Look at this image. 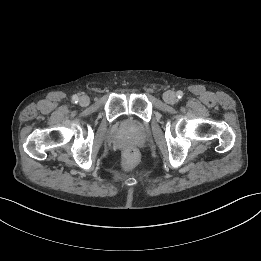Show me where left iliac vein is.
I'll return each mask as SVG.
<instances>
[{
    "label": "left iliac vein",
    "mask_w": 261,
    "mask_h": 261,
    "mask_svg": "<svg viewBox=\"0 0 261 261\" xmlns=\"http://www.w3.org/2000/svg\"><path fill=\"white\" fill-rule=\"evenodd\" d=\"M163 98H164V101L168 104H174L177 101L176 94L173 91L165 92Z\"/></svg>",
    "instance_id": "obj_1"
}]
</instances>
